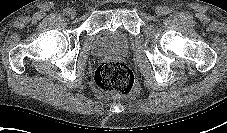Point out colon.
I'll return each mask as SVG.
<instances>
[{"mask_svg":"<svg viewBox=\"0 0 227 133\" xmlns=\"http://www.w3.org/2000/svg\"><path fill=\"white\" fill-rule=\"evenodd\" d=\"M94 82L104 93L126 95L133 88L134 78L127 65L117 60H108L97 68Z\"/></svg>","mask_w":227,"mask_h":133,"instance_id":"1","label":"colon"}]
</instances>
